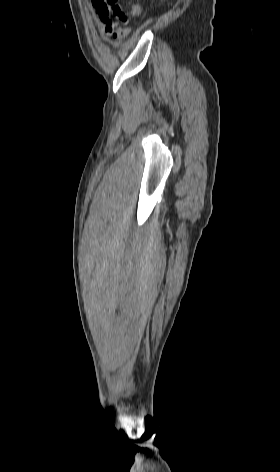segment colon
Listing matches in <instances>:
<instances>
[{
	"label": "colon",
	"mask_w": 280,
	"mask_h": 472,
	"mask_svg": "<svg viewBox=\"0 0 280 472\" xmlns=\"http://www.w3.org/2000/svg\"><path fill=\"white\" fill-rule=\"evenodd\" d=\"M102 22H108L111 25L125 27L132 18L140 13V7L135 2H130V9L125 13L118 0H92Z\"/></svg>",
	"instance_id": "colon-1"
}]
</instances>
